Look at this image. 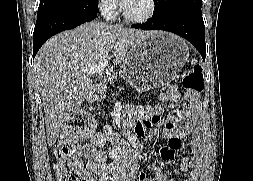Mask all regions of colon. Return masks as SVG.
<instances>
[{
  "instance_id": "1",
  "label": "colon",
  "mask_w": 253,
  "mask_h": 181,
  "mask_svg": "<svg viewBox=\"0 0 253 181\" xmlns=\"http://www.w3.org/2000/svg\"><path fill=\"white\" fill-rule=\"evenodd\" d=\"M182 86L193 93L203 90L202 67L198 62H193L191 69L183 76ZM92 130L93 122L84 112L75 114L66 123L62 139L57 146V177L59 181H91L84 172L81 162L75 156L73 142L84 139Z\"/></svg>"
}]
</instances>
